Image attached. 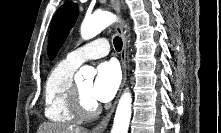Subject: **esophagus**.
I'll return each instance as SVG.
<instances>
[{
  "mask_svg": "<svg viewBox=\"0 0 221 133\" xmlns=\"http://www.w3.org/2000/svg\"><path fill=\"white\" fill-rule=\"evenodd\" d=\"M111 5L113 7V9L115 10V12L120 16L121 15V2L119 0H111ZM117 33L121 36L122 39V50L120 53V58H121V66H122V83H121V89L119 92V95L121 94V91L125 85L126 82V49H127V40H126V36H125V32L122 28L121 25L117 26ZM118 95V98H119ZM117 100L115 101L113 107L109 110V112L105 115V117L94 127L93 129V133H103L104 130L106 129L112 115L113 112L115 110L116 104H117Z\"/></svg>",
  "mask_w": 221,
  "mask_h": 133,
  "instance_id": "obj_1",
  "label": "esophagus"
}]
</instances>
